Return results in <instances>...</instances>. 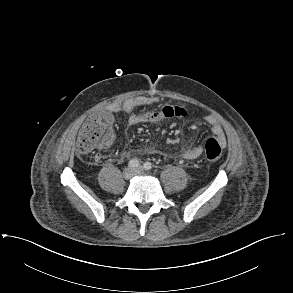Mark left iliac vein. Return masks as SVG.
Here are the masks:
<instances>
[{
    "label": "left iliac vein",
    "mask_w": 293,
    "mask_h": 293,
    "mask_svg": "<svg viewBox=\"0 0 293 293\" xmlns=\"http://www.w3.org/2000/svg\"><path fill=\"white\" fill-rule=\"evenodd\" d=\"M135 171H136L137 175H143L144 174V171H143L142 167H138Z\"/></svg>",
    "instance_id": "1"
}]
</instances>
